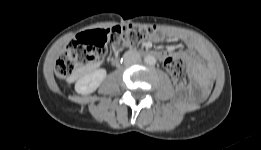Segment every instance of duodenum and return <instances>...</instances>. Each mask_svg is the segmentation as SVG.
I'll use <instances>...</instances> for the list:
<instances>
[{"label":"duodenum","instance_id":"obj_1","mask_svg":"<svg viewBox=\"0 0 261 150\" xmlns=\"http://www.w3.org/2000/svg\"><path fill=\"white\" fill-rule=\"evenodd\" d=\"M141 54H144V55H149V54H151V55H154V56H157L158 57V53H152V52H148V51H141L140 52ZM118 63V59H114L113 60V64H117Z\"/></svg>","mask_w":261,"mask_h":150}]
</instances>
